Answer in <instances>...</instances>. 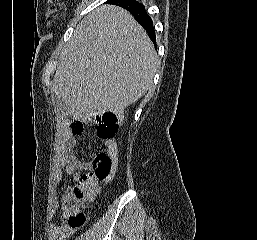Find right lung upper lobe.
Segmentation results:
<instances>
[{
    "instance_id": "1",
    "label": "right lung upper lobe",
    "mask_w": 257,
    "mask_h": 240,
    "mask_svg": "<svg viewBox=\"0 0 257 240\" xmlns=\"http://www.w3.org/2000/svg\"><path fill=\"white\" fill-rule=\"evenodd\" d=\"M125 1H127V0H112V1H109V3L114 4V5H124Z\"/></svg>"
}]
</instances>
